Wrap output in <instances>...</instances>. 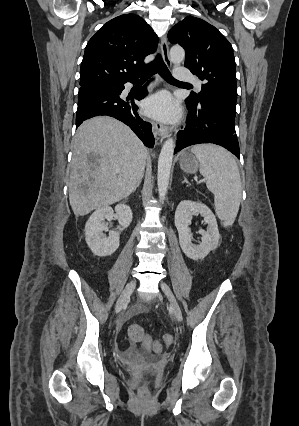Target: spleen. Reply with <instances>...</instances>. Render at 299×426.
<instances>
[{
    "instance_id": "3e777b00",
    "label": "spleen",
    "mask_w": 299,
    "mask_h": 426,
    "mask_svg": "<svg viewBox=\"0 0 299 426\" xmlns=\"http://www.w3.org/2000/svg\"><path fill=\"white\" fill-rule=\"evenodd\" d=\"M200 162V173L214 194L215 212L224 226L232 225L241 200V178L235 159L225 149L200 144L191 148Z\"/></svg>"
}]
</instances>
